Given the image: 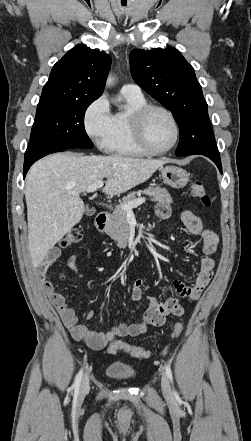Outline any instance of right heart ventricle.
I'll use <instances>...</instances> for the list:
<instances>
[{
  "label": "right heart ventricle",
  "mask_w": 251,
  "mask_h": 441,
  "mask_svg": "<svg viewBox=\"0 0 251 441\" xmlns=\"http://www.w3.org/2000/svg\"><path fill=\"white\" fill-rule=\"evenodd\" d=\"M126 108L112 115V131L106 150L110 153L141 157L146 153L136 142L131 125L132 115L139 108L147 105L143 94L123 93Z\"/></svg>",
  "instance_id": "obj_1"
}]
</instances>
